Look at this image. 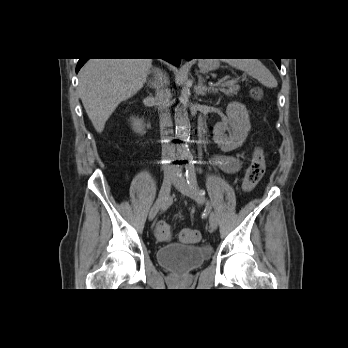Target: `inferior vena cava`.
<instances>
[{
    "mask_svg": "<svg viewBox=\"0 0 348 348\" xmlns=\"http://www.w3.org/2000/svg\"><path fill=\"white\" fill-rule=\"evenodd\" d=\"M155 102L159 106L160 118V134L162 142V158L163 160H173L175 158V146L172 140V121L169 113V103L171 99V91L169 89V80L166 74L158 70L155 84ZM165 170L168 167L165 165Z\"/></svg>",
    "mask_w": 348,
    "mask_h": 348,
    "instance_id": "inferior-vena-cava-1",
    "label": "inferior vena cava"
}]
</instances>
